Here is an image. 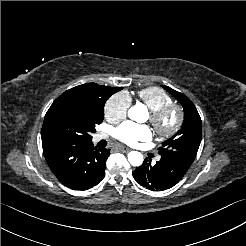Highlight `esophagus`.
<instances>
[{"instance_id": "obj_1", "label": "esophagus", "mask_w": 246, "mask_h": 246, "mask_svg": "<svg viewBox=\"0 0 246 246\" xmlns=\"http://www.w3.org/2000/svg\"><path fill=\"white\" fill-rule=\"evenodd\" d=\"M117 151L123 152V153H128V152H130V149L125 147V146H120L117 148Z\"/></svg>"}]
</instances>
